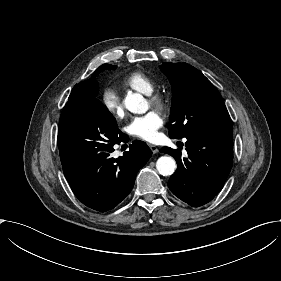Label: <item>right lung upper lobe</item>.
I'll use <instances>...</instances> for the list:
<instances>
[{"instance_id": "1", "label": "right lung upper lobe", "mask_w": 281, "mask_h": 281, "mask_svg": "<svg viewBox=\"0 0 281 281\" xmlns=\"http://www.w3.org/2000/svg\"><path fill=\"white\" fill-rule=\"evenodd\" d=\"M109 67V64H103L102 66H100L92 75V77L86 81H89V82H96L93 78L101 71L105 70V69H108Z\"/></svg>"}]
</instances>
